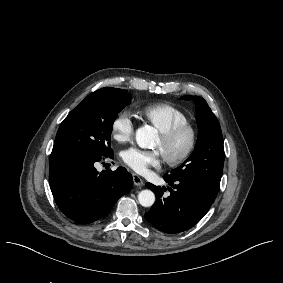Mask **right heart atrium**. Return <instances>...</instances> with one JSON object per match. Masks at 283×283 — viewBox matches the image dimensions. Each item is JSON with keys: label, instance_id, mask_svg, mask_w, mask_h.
Listing matches in <instances>:
<instances>
[{"label": "right heart atrium", "instance_id": "d8ad5b80", "mask_svg": "<svg viewBox=\"0 0 283 283\" xmlns=\"http://www.w3.org/2000/svg\"><path fill=\"white\" fill-rule=\"evenodd\" d=\"M111 139L118 143H128L134 136V124L127 113L118 114L110 125Z\"/></svg>", "mask_w": 283, "mask_h": 283}]
</instances>
